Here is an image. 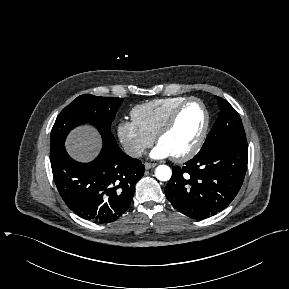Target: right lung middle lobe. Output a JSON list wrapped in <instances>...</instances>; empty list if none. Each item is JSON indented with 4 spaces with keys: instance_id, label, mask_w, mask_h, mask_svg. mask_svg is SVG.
Returning a JSON list of instances; mask_svg holds the SVG:
<instances>
[{
    "instance_id": "obj_1",
    "label": "right lung middle lobe",
    "mask_w": 289,
    "mask_h": 289,
    "mask_svg": "<svg viewBox=\"0 0 289 289\" xmlns=\"http://www.w3.org/2000/svg\"><path fill=\"white\" fill-rule=\"evenodd\" d=\"M122 102L123 98L117 97H98L90 94L77 97L61 111L54 123L51 131L50 158L64 147L67 134L85 122L95 124L102 138L115 141L110 127Z\"/></svg>"
}]
</instances>
